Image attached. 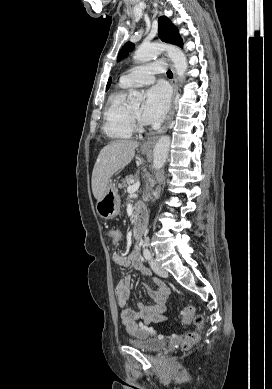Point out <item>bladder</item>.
<instances>
[{
	"label": "bladder",
	"mask_w": 272,
	"mask_h": 389,
	"mask_svg": "<svg viewBox=\"0 0 272 389\" xmlns=\"http://www.w3.org/2000/svg\"><path fill=\"white\" fill-rule=\"evenodd\" d=\"M127 342L130 346L148 353H156L165 347V342L156 338L129 339Z\"/></svg>",
	"instance_id": "obj_1"
}]
</instances>
